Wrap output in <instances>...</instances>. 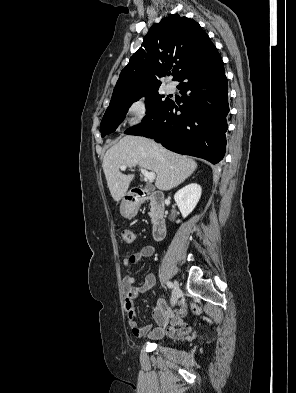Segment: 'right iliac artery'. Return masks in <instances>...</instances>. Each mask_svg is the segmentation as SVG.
Listing matches in <instances>:
<instances>
[{
  "label": "right iliac artery",
  "mask_w": 296,
  "mask_h": 393,
  "mask_svg": "<svg viewBox=\"0 0 296 393\" xmlns=\"http://www.w3.org/2000/svg\"><path fill=\"white\" fill-rule=\"evenodd\" d=\"M167 286L172 289L174 287V284L172 282L168 281Z\"/></svg>",
  "instance_id": "82829eb1"
}]
</instances>
